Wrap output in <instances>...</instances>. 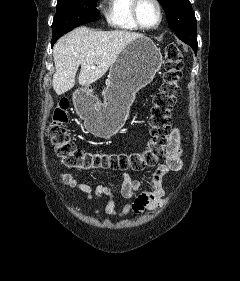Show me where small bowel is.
I'll use <instances>...</instances> for the list:
<instances>
[{
  "label": "small bowel",
  "mask_w": 240,
  "mask_h": 281,
  "mask_svg": "<svg viewBox=\"0 0 240 281\" xmlns=\"http://www.w3.org/2000/svg\"><path fill=\"white\" fill-rule=\"evenodd\" d=\"M182 152L181 133L178 128L174 127L169 135L165 162L159 165L152 174V190L141 191L142 184L139 180L131 178L127 173L121 174V196L125 199L133 200L125 204L120 210L116 208L114 194L109 187L104 185L92 187L88 183L77 180L69 173H60L59 178L64 185L82 195L86 200L106 198L103 209L100 206H96L94 210L95 215L99 219H102V213L116 218H124L129 214L140 216L144 212L157 209L166 201L163 180L172 172L183 169Z\"/></svg>",
  "instance_id": "obj_1"
}]
</instances>
